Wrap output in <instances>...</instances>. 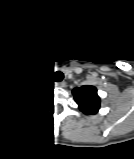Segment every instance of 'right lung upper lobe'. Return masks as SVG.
Returning <instances> with one entry per match:
<instances>
[{"label": "right lung upper lobe", "mask_w": 134, "mask_h": 159, "mask_svg": "<svg viewBox=\"0 0 134 159\" xmlns=\"http://www.w3.org/2000/svg\"><path fill=\"white\" fill-rule=\"evenodd\" d=\"M43 95V90L40 87L27 88L18 98V103L24 111L31 110Z\"/></svg>", "instance_id": "right-lung-upper-lobe-1"}]
</instances>
